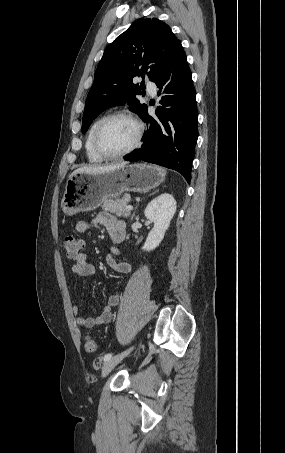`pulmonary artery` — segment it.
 I'll return each mask as SVG.
<instances>
[{
  "instance_id": "1",
  "label": "pulmonary artery",
  "mask_w": 285,
  "mask_h": 453,
  "mask_svg": "<svg viewBox=\"0 0 285 453\" xmlns=\"http://www.w3.org/2000/svg\"><path fill=\"white\" fill-rule=\"evenodd\" d=\"M147 89H148V92L152 95V96H155L156 95V85L154 82H148L147 83Z\"/></svg>"
}]
</instances>
